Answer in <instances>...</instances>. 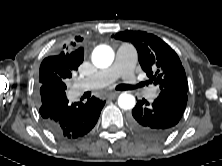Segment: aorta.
<instances>
[{
	"label": "aorta",
	"mask_w": 222,
	"mask_h": 166,
	"mask_svg": "<svg viewBox=\"0 0 222 166\" xmlns=\"http://www.w3.org/2000/svg\"><path fill=\"white\" fill-rule=\"evenodd\" d=\"M114 60V51L108 45L97 46L92 53L93 64L98 68L109 67ZM136 104L135 97L128 93L120 94L118 98V105L121 109L130 110Z\"/></svg>",
	"instance_id": "762f6f07"
}]
</instances>
